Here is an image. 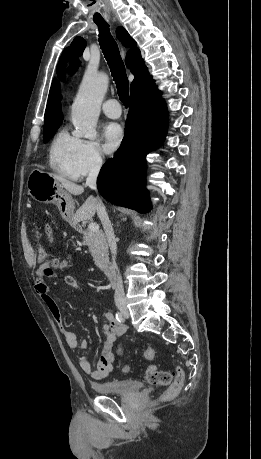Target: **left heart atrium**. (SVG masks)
<instances>
[{"mask_svg":"<svg viewBox=\"0 0 261 459\" xmlns=\"http://www.w3.org/2000/svg\"><path fill=\"white\" fill-rule=\"evenodd\" d=\"M123 129L117 123H108L102 130L103 148L107 154L116 151L123 140Z\"/></svg>","mask_w":261,"mask_h":459,"instance_id":"left-heart-atrium-1","label":"left heart atrium"}]
</instances>
